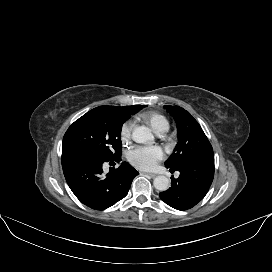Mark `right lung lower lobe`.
I'll return each instance as SVG.
<instances>
[{"mask_svg": "<svg viewBox=\"0 0 272 272\" xmlns=\"http://www.w3.org/2000/svg\"><path fill=\"white\" fill-rule=\"evenodd\" d=\"M121 159L103 160L84 153L62 154L65 179L74 195L84 205L104 210L124 198L131 183L139 173L127 162L110 168L104 175L103 163Z\"/></svg>", "mask_w": 272, "mask_h": 272, "instance_id": "obj_1", "label": "right lung lower lobe"}]
</instances>
